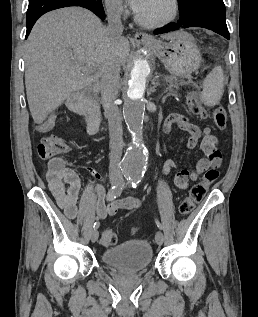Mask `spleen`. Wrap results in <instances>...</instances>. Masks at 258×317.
Returning <instances> with one entry per match:
<instances>
[{
  "label": "spleen",
  "instance_id": "obj_1",
  "mask_svg": "<svg viewBox=\"0 0 258 317\" xmlns=\"http://www.w3.org/2000/svg\"><path fill=\"white\" fill-rule=\"evenodd\" d=\"M223 92V70L221 66H215L205 78L203 90L200 94L201 102H204L206 106H215V104H219Z\"/></svg>",
  "mask_w": 258,
  "mask_h": 317
}]
</instances>
